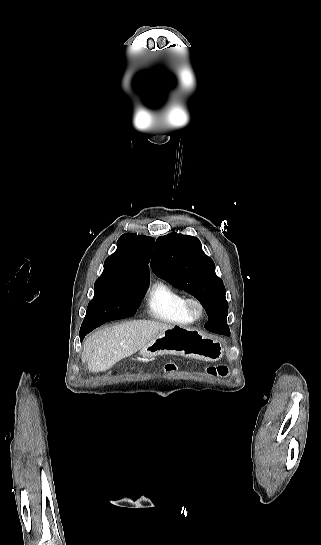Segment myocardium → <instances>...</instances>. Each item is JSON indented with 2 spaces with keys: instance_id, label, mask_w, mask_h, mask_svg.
I'll return each mask as SVG.
<instances>
[{
  "instance_id": "obj_1",
  "label": "myocardium",
  "mask_w": 321,
  "mask_h": 545,
  "mask_svg": "<svg viewBox=\"0 0 321 545\" xmlns=\"http://www.w3.org/2000/svg\"><path fill=\"white\" fill-rule=\"evenodd\" d=\"M186 310L192 320H198L203 316L204 307L201 301L196 297H189L186 300Z\"/></svg>"
}]
</instances>
